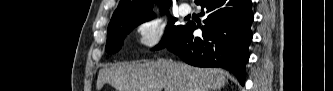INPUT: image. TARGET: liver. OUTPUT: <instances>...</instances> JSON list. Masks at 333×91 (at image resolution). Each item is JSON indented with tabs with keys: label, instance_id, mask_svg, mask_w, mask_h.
Listing matches in <instances>:
<instances>
[{
	"label": "liver",
	"instance_id": "1",
	"mask_svg": "<svg viewBox=\"0 0 333 91\" xmlns=\"http://www.w3.org/2000/svg\"><path fill=\"white\" fill-rule=\"evenodd\" d=\"M226 74L220 68H197L165 59L122 63L99 71L97 90L109 83L117 91H217L227 83Z\"/></svg>",
	"mask_w": 333,
	"mask_h": 91
}]
</instances>
